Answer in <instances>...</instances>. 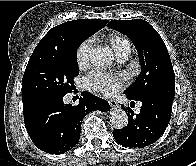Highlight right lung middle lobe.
Masks as SVG:
<instances>
[{
  "mask_svg": "<svg viewBox=\"0 0 196 166\" xmlns=\"http://www.w3.org/2000/svg\"><path fill=\"white\" fill-rule=\"evenodd\" d=\"M81 42L80 37H74L68 46L60 49L37 46L23 75L22 98L70 93L73 79L79 74L76 53Z\"/></svg>",
  "mask_w": 196,
  "mask_h": 166,
  "instance_id": "1",
  "label": "right lung middle lobe"
}]
</instances>
